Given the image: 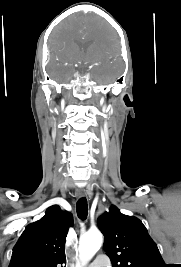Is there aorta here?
Returning a JSON list of instances; mask_svg holds the SVG:
<instances>
[{"label": "aorta", "mask_w": 181, "mask_h": 267, "mask_svg": "<svg viewBox=\"0 0 181 267\" xmlns=\"http://www.w3.org/2000/svg\"><path fill=\"white\" fill-rule=\"evenodd\" d=\"M103 244V235L100 231H88L79 241V257L82 264L89 262Z\"/></svg>", "instance_id": "aorta-1"}]
</instances>
